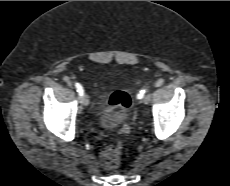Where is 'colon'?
Instances as JSON below:
<instances>
[{
    "label": "colon",
    "instance_id": "obj_1",
    "mask_svg": "<svg viewBox=\"0 0 230 186\" xmlns=\"http://www.w3.org/2000/svg\"><path fill=\"white\" fill-rule=\"evenodd\" d=\"M111 108L120 107L124 112H127L131 107V99L125 91H115L109 100ZM130 127L123 120L119 134L125 136L129 133ZM100 160L103 166L107 169L117 168L122 160V144L118 142L115 145L107 146L100 155Z\"/></svg>",
    "mask_w": 230,
    "mask_h": 186
}]
</instances>
